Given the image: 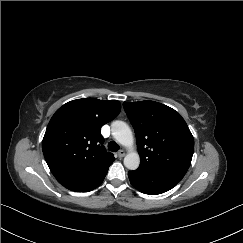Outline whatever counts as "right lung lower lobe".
<instances>
[{
  "label": "right lung lower lobe",
  "instance_id": "98d812e1",
  "mask_svg": "<svg viewBox=\"0 0 243 243\" xmlns=\"http://www.w3.org/2000/svg\"><path fill=\"white\" fill-rule=\"evenodd\" d=\"M113 161L107 162L100 167H98L96 170L91 172L90 174L72 179L69 181H66L64 183H61L64 187H66L69 190L76 191V192H88L96 187H98L104 180L109 166L112 164Z\"/></svg>",
  "mask_w": 243,
  "mask_h": 243
}]
</instances>
